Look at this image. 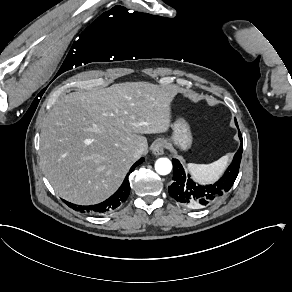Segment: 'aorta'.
<instances>
[{
  "label": "aorta",
  "mask_w": 292,
  "mask_h": 292,
  "mask_svg": "<svg viewBox=\"0 0 292 292\" xmlns=\"http://www.w3.org/2000/svg\"><path fill=\"white\" fill-rule=\"evenodd\" d=\"M155 170L159 175H168L172 170V163L167 158H160L156 161Z\"/></svg>",
  "instance_id": "1"
}]
</instances>
